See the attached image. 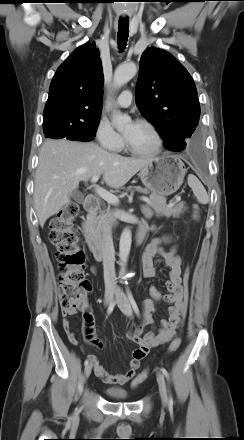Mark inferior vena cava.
I'll use <instances>...</instances> for the list:
<instances>
[{
  "mask_svg": "<svg viewBox=\"0 0 244 440\" xmlns=\"http://www.w3.org/2000/svg\"><path fill=\"white\" fill-rule=\"evenodd\" d=\"M102 254L105 289L106 291H114L116 288L115 250L109 227H106L102 233Z\"/></svg>",
  "mask_w": 244,
  "mask_h": 440,
  "instance_id": "602c4592",
  "label": "inferior vena cava"
}]
</instances>
